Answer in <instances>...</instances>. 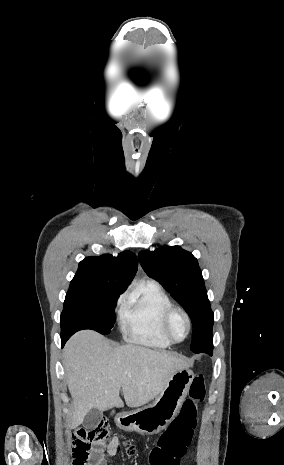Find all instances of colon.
Here are the masks:
<instances>
[{"label": "colon", "mask_w": 284, "mask_h": 465, "mask_svg": "<svg viewBox=\"0 0 284 465\" xmlns=\"http://www.w3.org/2000/svg\"><path fill=\"white\" fill-rule=\"evenodd\" d=\"M205 389L201 375H195L188 390V398L177 413L176 420L171 421L164 436L159 439L158 445L152 448L149 456V465H179L185 457L186 448L189 447L188 438H192L195 430L197 411L196 404L204 400ZM109 439L108 427L98 422L84 428L76 429L72 434V465H86L87 451L96 443Z\"/></svg>", "instance_id": "obj_1"}]
</instances>
